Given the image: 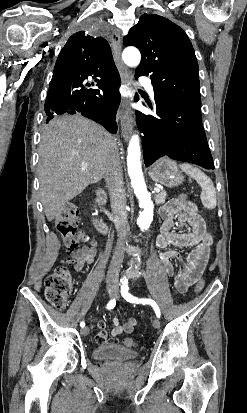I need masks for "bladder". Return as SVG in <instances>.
Listing matches in <instances>:
<instances>
[{
	"instance_id": "bladder-1",
	"label": "bladder",
	"mask_w": 247,
	"mask_h": 413,
	"mask_svg": "<svg viewBox=\"0 0 247 413\" xmlns=\"http://www.w3.org/2000/svg\"><path fill=\"white\" fill-rule=\"evenodd\" d=\"M93 356L95 360H131L137 357V352L121 346L94 347Z\"/></svg>"
}]
</instances>
